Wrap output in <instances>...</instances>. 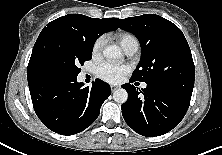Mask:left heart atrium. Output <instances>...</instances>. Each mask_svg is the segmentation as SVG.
<instances>
[{
  "instance_id": "39dd6f15",
  "label": "left heart atrium",
  "mask_w": 222,
  "mask_h": 155,
  "mask_svg": "<svg viewBox=\"0 0 222 155\" xmlns=\"http://www.w3.org/2000/svg\"><path fill=\"white\" fill-rule=\"evenodd\" d=\"M128 70V66H118L106 62L99 66L97 74L104 81L116 83L122 79L123 75L128 72Z\"/></svg>"
}]
</instances>
